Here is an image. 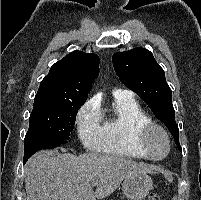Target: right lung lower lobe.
I'll list each match as a JSON object with an SVG mask.
<instances>
[{
    "label": "right lung lower lobe",
    "mask_w": 201,
    "mask_h": 200,
    "mask_svg": "<svg viewBox=\"0 0 201 200\" xmlns=\"http://www.w3.org/2000/svg\"><path fill=\"white\" fill-rule=\"evenodd\" d=\"M24 142L23 164H25L27 160L38 150L53 149L60 146L62 143H66V141H52L42 138L24 140Z\"/></svg>",
    "instance_id": "right-lung-lower-lobe-1"
}]
</instances>
